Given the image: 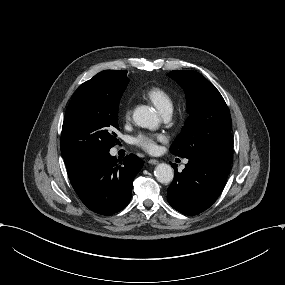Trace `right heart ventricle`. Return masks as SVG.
Returning <instances> with one entry per match:
<instances>
[{
    "instance_id": "obj_1",
    "label": "right heart ventricle",
    "mask_w": 285,
    "mask_h": 285,
    "mask_svg": "<svg viewBox=\"0 0 285 285\" xmlns=\"http://www.w3.org/2000/svg\"><path fill=\"white\" fill-rule=\"evenodd\" d=\"M144 96L153 102L160 111L171 109L172 97L170 92L160 85H150L144 90Z\"/></svg>"
}]
</instances>
